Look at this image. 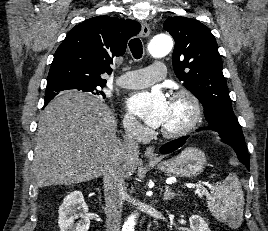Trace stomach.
Returning a JSON list of instances; mask_svg holds the SVG:
<instances>
[{"instance_id":"0dacf381","label":"stomach","mask_w":268,"mask_h":231,"mask_svg":"<svg viewBox=\"0 0 268 231\" xmlns=\"http://www.w3.org/2000/svg\"><path fill=\"white\" fill-rule=\"evenodd\" d=\"M206 163L204 152L195 147H188L176 157L156 163V166L168 176L191 178L201 174Z\"/></svg>"}]
</instances>
